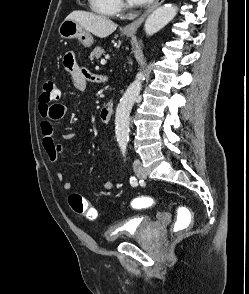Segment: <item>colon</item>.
<instances>
[{
	"label": "colon",
	"instance_id": "obj_1",
	"mask_svg": "<svg viewBox=\"0 0 249 294\" xmlns=\"http://www.w3.org/2000/svg\"><path fill=\"white\" fill-rule=\"evenodd\" d=\"M59 88L54 80L46 78L42 82V93L40 100L43 103H50L59 98ZM157 201L150 197H139L132 200L130 206L133 209L150 208L155 206ZM69 204L72 210L80 216L87 218L88 220L94 221L97 219L98 213L93 208L90 202L79 194H72L69 196ZM191 218L186 217L184 219L177 220L171 227L172 233H178L183 229L187 228L190 224Z\"/></svg>",
	"mask_w": 249,
	"mask_h": 294
}]
</instances>
